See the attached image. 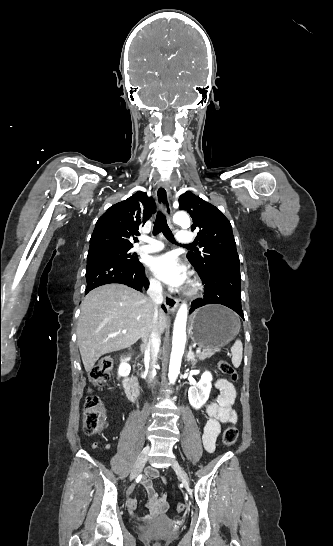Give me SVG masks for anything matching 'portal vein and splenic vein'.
Returning <instances> with one entry per match:
<instances>
[{
  "mask_svg": "<svg viewBox=\"0 0 333 546\" xmlns=\"http://www.w3.org/2000/svg\"><path fill=\"white\" fill-rule=\"evenodd\" d=\"M122 333H124V334H125V333H127V331H126V330H124V331H122ZM196 353H201V349H196Z\"/></svg>",
  "mask_w": 333,
  "mask_h": 546,
  "instance_id": "1",
  "label": "portal vein and splenic vein"
}]
</instances>
